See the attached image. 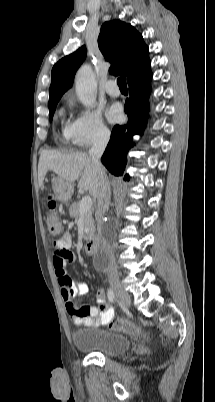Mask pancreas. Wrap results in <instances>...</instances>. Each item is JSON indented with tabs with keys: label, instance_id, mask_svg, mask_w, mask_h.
<instances>
[{
	"label": "pancreas",
	"instance_id": "pancreas-1",
	"mask_svg": "<svg viewBox=\"0 0 215 402\" xmlns=\"http://www.w3.org/2000/svg\"><path fill=\"white\" fill-rule=\"evenodd\" d=\"M79 204L78 202H74L70 208H69V214L71 218H74L75 220H78L80 218L83 219L84 223V231H85V236L84 240H90L94 236L95 233V224H94V219L92 216L93 210L90 209L88 212L84 214H80L79 212Z\"/></svg>",
	"mask_w": 215,
	"mask_h": 402
}]
</instances>
